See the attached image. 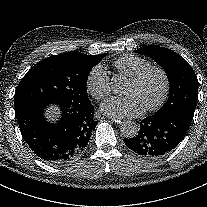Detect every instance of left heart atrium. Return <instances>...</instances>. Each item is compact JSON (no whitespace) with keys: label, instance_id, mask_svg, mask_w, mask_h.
<instances>
[{"label":"left heart atrium","instance_id":"left-heart-atrium-1","mask_svg":"<svg viewBox=\"0 0 207 207\" xmlns=\"http://www.w3.org/2000/svg\"><path fill=\"white\" fill-rule=\"evenodd\" d=\"M102 111L116 118H134L144 111L134 96L110 97L101 106Z\"/></svg>","mask_w":207,"mask_h":207}]
</instances>
